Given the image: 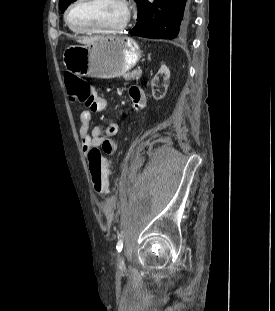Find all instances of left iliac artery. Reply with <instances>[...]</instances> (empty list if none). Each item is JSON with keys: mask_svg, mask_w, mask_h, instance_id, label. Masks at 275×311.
<instances>
[{"mask_svg": "<svg viewBox=\"0 0 275 311\" xmlns=\"http://www.w3.org/2000/svg\"><path fill=\"white\" fill-rule=\"evenodd\" d=\"M122 248H123V239H119L116 245V249L118 252H121Z\"/></svg>", "mask_w": 275, "mask_h": 311, "instance_id": "44dca946", "label": "left iliac artery"}]
</instances>
